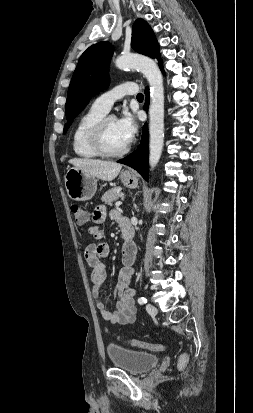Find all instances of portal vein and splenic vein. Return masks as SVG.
I'll return each instance as SVG.
<instances>
[{"label":"portal vein and splenic vein","mask_w":253,"mask_h":413,"mask_svg":"<svg viewBox=\"0 0 253 413\" xmlns=\"http://www.w3.org/2000/svg\"><path fill=\"white\" fill-rule=\"evenodd\" d=\"M121 205H122V202H121V201H118V202L115 203V207H116V208H118V207L121 206Z\"/></svg>","instance_id":"1"}]
</instances>
